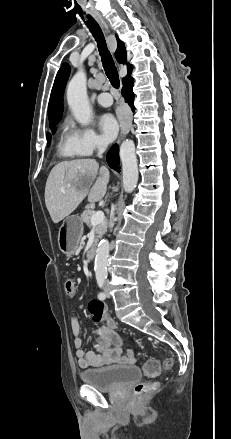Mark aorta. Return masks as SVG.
<instances>
[{
  "label": "aorta",
  "instance_id": "aorta-1",
  "mask_svg": "<svg viewBox=\"0 0 231 439\" xmlns=\"http://www.w3.org/2000/svg\"><path fill=\"white\" fill-rule=\"evenodd\" d=\"M67 102L75 119L82 125H87L91 119V108L87 96V77L80 69L71 79L67 87ZM120 159L123 170V188L127 193L133 192L138 182V165L135 145L131 140H125L120 147ZM110 244L103 239L98 244L95 257L96 278L107 277V266Z\"/></svg>",
  "mask_w": 231,
  "mask_h": 439
}]
</instances>
